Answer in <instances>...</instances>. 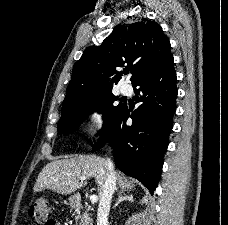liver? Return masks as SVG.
<instances>
[{
  "label": "liver",
  "instance_id": "6515ba94",
  "mask_svg": "<svg viewBox=\"0 0 228 225\" xmlns=\"http://www.w3.org/2000/svg\"><path fill=\"white\" fill-rule=\"evenodd\" d=\"M107 173L106 159L96 157V155H73V159H61V161L48 163L39 173L33 191L39 193V191L51 189L59 195H71L80 187L87 185L86 181H81V177H87V179L94 177L98 197L101 199L102 185L107 179ZM114 175L121 191L134 189L133 181H128L127 177H123L116 171H114Z\"/></svg>",
  "mask_w": 228,
  "mask_h": 225
}]
</instances>
